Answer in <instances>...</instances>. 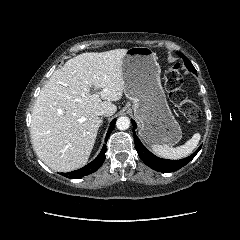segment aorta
<instances>
[{"mask_svg":"<svg viewBox=\"0 0 240 240\" xmlns=\"http://www.w3.org/2000/svg\"><path fill=\"white\" fill-rule=\"evenodd\" d=\"M116 126L119 130H127L130 127V119L128 117H119Z\"/></svg>","mask_w":240,"mask_h":240,"instance_id":"1","label":"aorta"}]
</instances>
